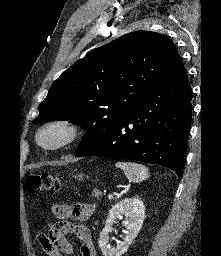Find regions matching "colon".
Returning a JSON list of instances; mask_svg holds the SVG:
<instances>
[{
	"label": "colon",
	"mask_w": 221,
	"mask_h": 256,
	"mask_svg": "<svg viewBox=\"0 0 221 256\" xmlns=\"http://www.w3.org/2000/svg\"><path fill=\"white\" fill-rule=\"evenodd\" d=\"M26 188L29 192L45 191L54 193L61 188L60 180L47 172L32 173L26 181Z\"/></svg>",
	"instance_id": "obj_1"
}]
</instances>
